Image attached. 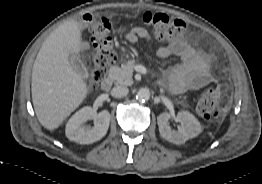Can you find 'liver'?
Returning a JSON list of instances; mask_svg holds the SVG:
<instances>
[{
	"mask_svg": "<svg viewBox=\"0 0 262 184\" xmlns=\"http://www.w3.org/2000/svg\"><path fill=\"white\" fill-rule=\"evenodd\" d=\"M81 29L75 20L58 26L43 42L32 70V102L40 124L58 128L84 101L88 87L70 63L81 51Z\"/></svg>",
	"mask_w": 262,
	"mask_h": 184,
	"instance_id": "6515ba94",
	"label": "liver"
}]
</instances>
